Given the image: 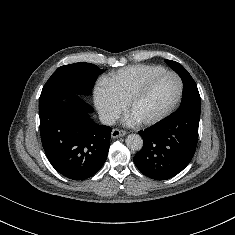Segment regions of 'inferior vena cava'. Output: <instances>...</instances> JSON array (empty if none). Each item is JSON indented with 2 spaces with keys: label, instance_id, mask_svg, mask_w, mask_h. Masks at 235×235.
Masks as SVG:
<instances>
[{
  "label": "inferior vena cava",
  "instance_id": "602c4592",
  "mask_svg": "<svg viewBox=\"0 0 235 235\" xmlns=\"http://www.w3.org/2000/svg\"><path fill=\"white\" fill-rule=\"evenodd\" d=\"M99 119L101 123L109 126L115 124L116 122L115 117L107 112H99Z\"/></svg>",
  "mask_w": 235,
  "mask_h": 235
}]
</instances>
